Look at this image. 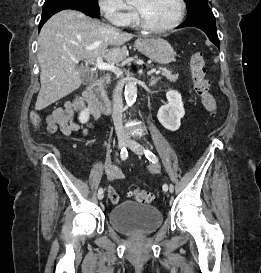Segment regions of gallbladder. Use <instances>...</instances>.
<instances>
[{
	"label": "gallbladder",
	"mask_w": 261,
	"mask_h": 273,
	"mask_svg": "<svg viewBox=\"0 0 261 273\" xmlns=\"http://www.w3.org/2000/svg\"><path fill=\"white\" fill-rule=\"evenodd\" d=\"M82 83L88 84L91 81V75L88 70L82 69L80 72Z\"/></svg>",
	"instance_id": "gallbladder-1"
}]
</instances>
